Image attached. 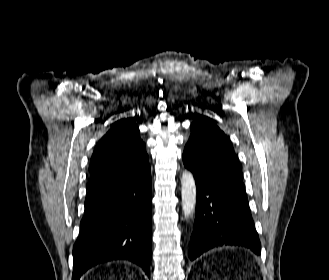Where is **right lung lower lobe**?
Returning <instances> with one entry per match:
<instances>
[{
  "instance_id": "1",
  "label": "right lung lower lobe",
  "mask_w": 329,
  "mask_h": 280,
  "mask_svg": "<svg viewBox=\"0 0 329 280\" xmlns=\"http://www.w3.org/2000/svg\"><path fill=\"white\" fill-rule=\"evenodd\" d=\"M151 257L150 167L91 180L73 247L72 280L96 264L116 259L135 262L150 278Z\"/></svg>"
}]
</instances>
